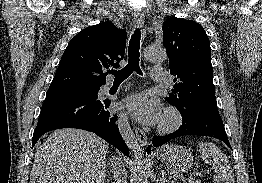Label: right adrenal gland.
I'll return each instance as SVG.
<instances>
[{
  "mask_svg": "<svg viewBox=\"0 0 262 183\" xmlns=\"http://www.w3.org/2000/svg\"><path fill=\"white\" fill-rule=\"evenodd\" d=\"M112 179H113V177H110V179L107 181V183H109L110 180H111V183H114V182H112Z\"/></svg>",
  "mask_w": 262,
  "mask_h": 183,
  "instance_id": "1",
  "label": "right adrenal gland"
}]
</instances>
